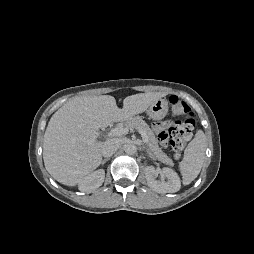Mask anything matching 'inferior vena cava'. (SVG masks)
<instances>
[{
	"instance_id": "602c4592",
	"label": "inferior vena cava",
	"mask_w": 254,
	"mask_h": 254,
	"mask_svg": "<svg viewBox=\"0 0 254 254\" xmlns=\"http://www.w3.org/2000/svg\"><path fill=\"white\" fill-rule=\"evenodd\" d=\"M119 148V143L115 139H109L104 142L101 153L102 156L108 158L111 157Z\"/></svg>"
}]
</instances>
